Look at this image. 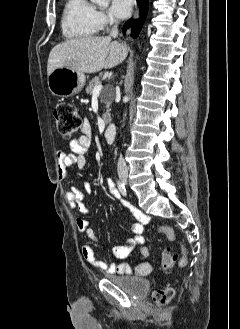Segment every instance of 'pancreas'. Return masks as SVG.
<instances>
[{
    "label": "pancreas",
    "mask_w": 240,
    "mask_h": 329,
    "mask_svg": "<svg viewBox=\"0 0 240 329\" xmlns=\"http://www.w3.org/2000/svg\"><path fill=\"white\" fill-rule=\"evenodd\" d=\"M99 84H101L100 77H94L89 82L88 86L86 87V93L87 94H91L92 91H93V89H94V87L97 86V85H99ZM100 101H101V103H105L106 104L107 110H106V112L103 115V119H104L105 123H108L110 121V113H109L108 108H109L112 100L111 99H108L106 97L105 93H102L101 96H100Z\"/></svg>",
    "instance_id": "pancreas-1"
}]
</instances>
